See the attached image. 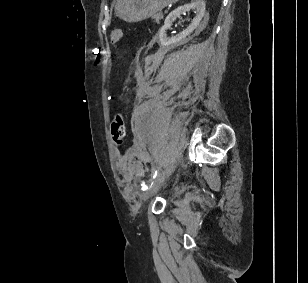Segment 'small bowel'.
Here are the masks:
<instances>
[{"label": "small bowel", "mask_w": 308, "mask_h": 283, "mask_svg": "<svg viewBox=\"0 0 308 283\" xmlns=\"http://www.w3.org/2000/svg\"><path fill=\"white\" fill-rule=\"evenodd\" d=\"M117 166L119 171L124 174L125 178L129 179L131 177V173L128 171L127 165L124 160L120 159L117 163Z\"/></svg>", "instance_id": "obj_1"}]
</instances>
